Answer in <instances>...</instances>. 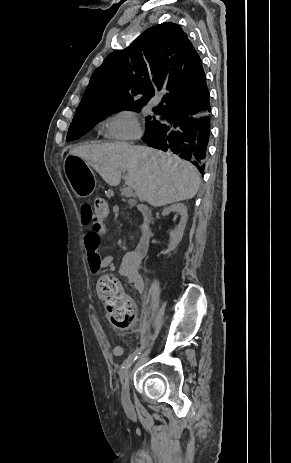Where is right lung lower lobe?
Wrapping results in <instances>:
<instances>
[{
    "label": "right lung lower lobe",
    "mask_w": 291,
    "mask_h": 463,
    "mask_svg": "<svg viewBox=\"0 0 291 463\" xmlns=\"http://www.w3.org/2000/svg\"><path fill=\"white\" fill-rule=\"evenodd\" d=\"M201 85L207 93L199 104L162 112L166 121L147 130L142 139L150 147L190 161L203 174L211 134V105L205 77Z\"/></svg>",
    "instance_id": "obj_1"
}]
</instances>
